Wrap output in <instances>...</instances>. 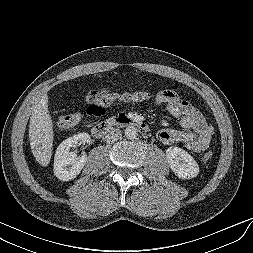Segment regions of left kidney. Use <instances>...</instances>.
Listing matches in <instances>:
<instances>
[{"mask_svg": "<svg viewBox=\"0 0 253 253\" xmlns=\"http://www.w3.org/2000/svg\"><path fill=\"white\" fill-rule=\"evenodd\" d=\"M166 158L171 170L181 179L195 178L199 174L197 162L184 149L169 147Z\"/></svg>", "mask_w": 253, "mask_h": 253, "instance_id": "5707ae66", "label": "left kidney"}]
</instances>
